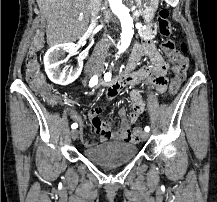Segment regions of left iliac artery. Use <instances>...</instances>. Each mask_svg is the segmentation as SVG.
I'll list each match as a JSON object with an SVG mask.
<instances>
[{
    "label": "left iliac artery",
    "instance_id": "obj_1",
    "mask_svg": "<svg viewBox=\"0 0 217 202\" xmlns=\"http://www.w3.org/2000/svg\"><path fill=\"white\" fill-rule=\"evenodd\" d=\"M104 80H105V81H110V80H111V73H110V72H107V73L104 75ZM144 130H145L146 132H149V131H150L149 126H146Z\"/></svg>",
    "mask_w": 217,
    "mask_h": 202
}]
</instances>
